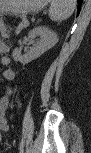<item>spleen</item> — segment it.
<instances>
[{"mask_svg": "<svg viewBox=\"0 0 91 153\" xmlns=\"http://www.w3.org/2000/svg\"><path fill=\"white\" fill-rule=\"evenodd\" d=\"M72 2L70 1H52L50 6V13L53 18H59L67 14L71 7Z\"/></svg>", "mask_w": 91, "mask_h": 153, "instance_id": "3e777b00", "label": "spleen"}]
</instances>
